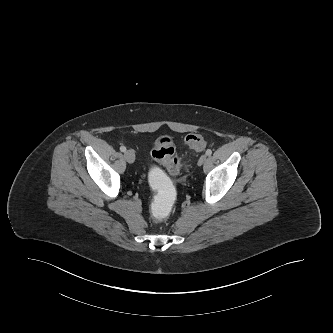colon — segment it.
<instances>
[{
  "label": "colon",
  "mask_w": 333,
  "mask_h": 333,
  "mask_svg": "<svg viewBox=\"0 0 333 333\" xmlns=\"http://www.w3.org/2000/svg\"><path fill=\"white\" fill-rule=\"evenodd\" d=\"M188 147L193 151H201L205 148L206 141L202 134H190L185 139ZM151 155L153 159L162 164L167 171L176 175L182 168V163L176 155L173 139L169 136H161L156 139ZM151 183L154 185L152 210L148 218L152 224L159 225L169 215L173 204V181L165 174L162 168L156 167L149 174Z\"/></svg>",
  "instance_id": "colon-1"
}]
</instances>
